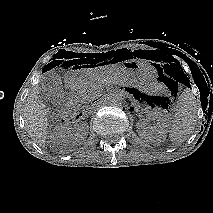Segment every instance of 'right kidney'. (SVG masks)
<instances>
[{"label": "right kidney", "instance_id": "right-kidney-1", "mask_svg": "<svg viewBox=\"0 0 213 213\" xmlns=\"http://www.w3.org/2000/svg\"><path fill=\"white\" fill-rule=\"evenodd\" d=\"M84 128H85V127H82V128H81V130H82V131H84ZM82 134H84V135H85V134H86V132H82Z\"/></svg>", "mask_w": 213, "mask_h": 213}]
</instances>
